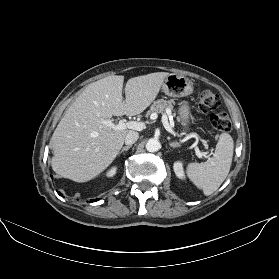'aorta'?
<instances>
[{
    "label": "aorta",
    "mask_w": 279,
    "mask_h": 279,
    "mask_svg": "<svg viewBox=\"0 0 279 279\" xmlns=\"http://www.w3.org/2000/svg\"><path fill=\"white\" fill-rule=\"evenodd\" d=\"M161 147L159 140L151 138L146 143V150L148 152H157Z\"/></svg>",
    "instance_id": "1"
}]
</instances>
